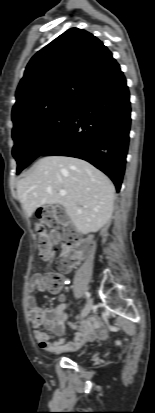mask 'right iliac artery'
Here are the masks:
<instances>
[{
  "instance_id": "1",
  "label": "right iliac artery",
  "mask_w": 155,
  "mask_h": 413,
  "mask_svg": "<svg viewBox=\"0 0 155 413\" xmlns=\"http://www.w3.org/2000/svg\"><path fill=\"white\" fill-rule=\"evenodd\" d=\"M86 297H87V298H89V297H90V294H89L88 292H86Z\"/></svg>"
}]
</instances>
